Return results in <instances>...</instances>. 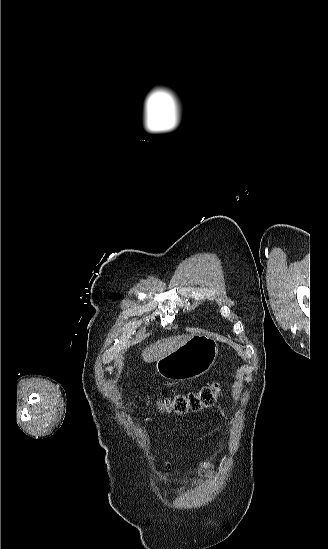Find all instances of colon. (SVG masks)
I'll return each instance as SVG.
<instances>
[{"label":"colon","instance_id":"colon-1","mask_svg":"<svg viewBox=\"0 0 328 549\" xmlns=\"http://www.w3.org/2000/svg\"><path fill=\"white\" fill-rule=\"evenodd\" d=\"M220 392L221 387L219 383H212L196 392L161 399L158 401V405L166 412H175L178 414H184L188 411H199L214 405Z\"/></svg>","mask_w":328,"mask_h":549}]
</instances>
